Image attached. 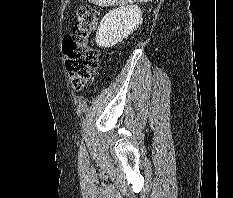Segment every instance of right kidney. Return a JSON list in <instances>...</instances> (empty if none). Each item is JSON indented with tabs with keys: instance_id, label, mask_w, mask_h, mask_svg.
I'll list each match as a JSON object with an SVG mask.
<instances>
[{
	"instance_id": "1",
	"label": "right kidney",
	"mask_w": 233,
	"mask_h": 198,
	"mask_svg": "<svg viewBox=\"0 0 233 198\" xmlns=\"http://www.w3.org/2000/svg\"><path fill=\"white\" fill-rule=\"evenodd\" d=\"M142 23V12L137 5L110 10L101 20L96 33L99 47H112L128 37Z\"/></svg>"
}]
</instances>
